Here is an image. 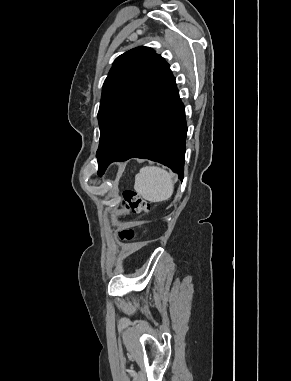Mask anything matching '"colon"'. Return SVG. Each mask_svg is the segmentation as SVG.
I'll return each mask as SVG.
<instances>
[{
  "mask_svg": "<svg viewBox=\"0 0 291 381\" xmlns=\"http://www.w3.org/2000/svg\"><path fill=\"white\" fill-rule=\"evenodd\" d=\"M123 207L126 212L135 214L147 213L150 211V204L147 200L139 197L134 191L127 190L123 193ZM136 231L131 226L123 227L119 232V239L124 243H131L136 238ZM144 245L143 242L138 243V246Z\"/></svg>",
  "mask_w": 291,
  "mask_h": 381,
  "instance_id": "obj_1",
  "label": "colon"
}]
</instances>
